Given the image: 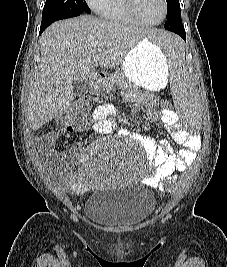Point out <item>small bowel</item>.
Wrapping results in <instances>:
<instances>
[{
  "instance_id": "c3829d8e",
  "label": "small bowel",
  "mask_w": 227,
  "mask_h": 267,
  "mask_svg": "<svg viewBox=\"0 0 227 267\" xmlns=\"http://www.w3.org/2000/svg\"><path fill=\"white\" fill-rule=\"evenodd\" d=\"M114 106L104 103L97 106L92 115V130L99 135L109 134L115 125L112 121ZM150 118L158 122L161 126L171 130L175 142L181 146L179 151H175L173 146L167 142H154L147 137L137 135L136 139L144 148L147 158L154 167L152 174L144 178V182L149 186L164 191L173 188L178 179V173L191 164L196 155V151L201 146L200 137L196 134H188L181 129L178 117L171 109L153 110ZM83 125H74L66 128L67 132L78 131ZM52 138L43 141V154H51ZM84 160V158H83ZM165 173H176V178H165ZM65 181L69 187H84L88 181V176L84 168L67 173Z\"/></svg>"
}]
</instances>
